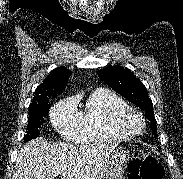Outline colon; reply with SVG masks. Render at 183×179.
I'll list each match as a JSON object with an SVG mask.
<instances>
[{"mask_svg":"<svg viewBox=\"0 0 183 179\" xmlns=\"http://www.w3.org/2000/svg\"><path fill=\"white\" fill-rule=\"evenodd\" d=\"M164 170L156 158L143 151H137L129 164L128 179H163Z\"/></svg>","mask_w":183,"mask_h":179,"instance_id":"1","label":"colon"}]
</instances>
